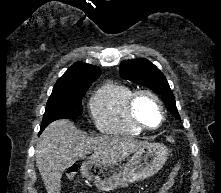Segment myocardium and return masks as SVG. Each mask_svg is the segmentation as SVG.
<instances>
[{
    "mask_svg": "<svg viewBox=\"0 0 221 193\" xmlns=\"http://www.w3.org/2000/svg\"><path fill=\"white\" fill-rule=\"evenodd\" d=\"M144 97L151 98L152 100H154L156 102V104L159 107L160 121H159L158 125L155 127H151V126L147 125L145 122H143L139 118V116L137 114L138 102L140 101V99H142ZM128 109H129V113H130V116H131L133 122L143 130H148V131L157 130L165 122L166 111H165L164 103H163L162 99L155 92H153L151 90L144 89V90H139L137 92H134V94L132 95V97L129 100Z\"/></svg>",
    "mask_w": 221,
    "mask_h": 193,
    "instance_id": "myocardium-1",
    "label": "myocardium"
}]
</instances>
